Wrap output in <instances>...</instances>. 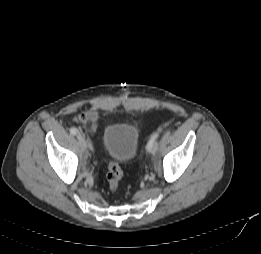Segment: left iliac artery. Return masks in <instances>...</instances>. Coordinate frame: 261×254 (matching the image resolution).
Here are the masks:
<instances>
[{
  "label": "left iliac artery",
  "mask_w": 261,
  "mask_h": 254,
  "mask_svg": "<svg viewBox=\"0 0 261 254\" xmlns=\"http://www.w3.org/2000/svg\"><path fill=\"white\" fill-rule=\"evenodd\" d=\"M160 133H161V131L159 130L151 135V138L148 141L147 146H146V149L148 152H151L153 145L155 144V141L159 137Z\"/></svg>",
  "instance_id": "left-iliac-artery-1"
}]
</instances>
